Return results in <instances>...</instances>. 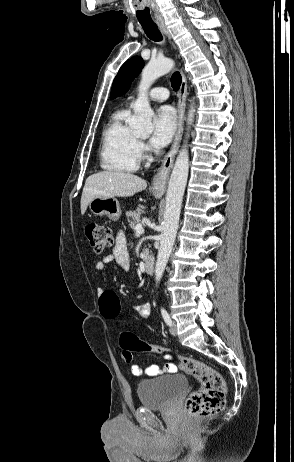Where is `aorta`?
Here are the masks:
<instances>
[{"mask_svg":"<svg viewBox=\"0 0 294 462\" xmlns=\"http://www.w3.org/2000/svg\"><path fill=\"white\" fill-rule=\"evenodd\" d=\"M173 66V60L169 58H158L151 60L142 71V77L138 87L139 95L133 107L134 115L129 121V126L136 129L141 134H150L153 131V111L150 107L147 91L156 79L170 72ZM194 112V103H192L187 121L189 126L193 122ZM188 171L189 153L187 144L185 143L176 158L166 193L160 247L155 265V280L157 284L163 276L175 242Z\"/></svg>","mask_w":294,"mask_h":462,"instance_id":"762f6f07","label":"aorta"}]
</instances>
